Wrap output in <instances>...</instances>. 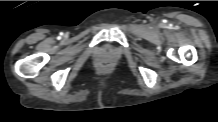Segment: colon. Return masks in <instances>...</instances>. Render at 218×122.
<instances>
[{
  "mask_svg": "<svg viewBox=\"0 0 218 122\" xmlns=\"http://www.w3.org/2000/svg\"><path fill=\"white\" fill-rule=\"evenodd\" d=\"M111 66V63L109 61H104L101 63V67L103 69H108Z\"/></svg>",
  "mask_w": 218,
  "mask_h": 122,
  "instance_id": "obj_1",
  "label": "colon"
}]
</instances>
